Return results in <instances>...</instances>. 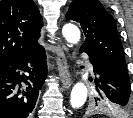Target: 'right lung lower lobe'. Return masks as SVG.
I'll return each instance as SVG.
<instances>
[{
  "label": "right lung lower lobe",
  "instance_id": "98d812e1",
  "mask_svg": "<svg viewBox=\"0 0 133 118\" xmlns=\"http://www.w3.org/2000/svg\"><path fill=\"white\" fill-rule=\"evenodd\" d=\"M46 76V53L41 45L0 65V118H27Z\"/></svg>",
  "mask_w": 133,
  "mask_h": 118
}]
</instances>
